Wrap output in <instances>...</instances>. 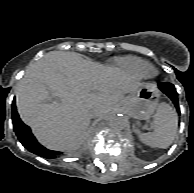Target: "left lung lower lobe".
Wrapping results in <instances>:
<instances>
[{
  "mask_svg": "<svg viewBox=\"0 0 194 193\" xmlns=\"http://www.w3.org/2000/svg\"><path fill=\"white\" fill-rule=\"evenodd\" d=\"M159 88L172 100L178 113H180L177 92L174 85L171 83L163 82L159 83Z\"/></svg>",
  "mask_w": 194,
  "mask_h": 193,
  "instance_id": "1",
  "label": "left lung lower lobe"
}]
</instances>
